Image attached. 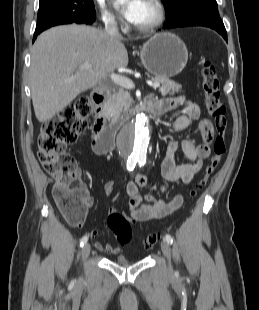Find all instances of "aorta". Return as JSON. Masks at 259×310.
<instances>
[{"label": "aorta", "mask_w": 259, "mask_h": 310, "mask_svg": "<svg viewBox=\"0 0 259 310\" xmlns=\"http://www.w3.org/2000/svg\"><path fill=\"white\" fill-rule=\"evenodd\" d=\"M149 141V121L144 113L138 114L119 137L120 149L128 157L146 155Z\"/></svg>", "instance_id": "aorta-1"}]
</instances>
